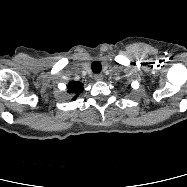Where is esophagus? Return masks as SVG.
Segmentation results:
<instances>
[{"label":"esophagus","mask_w":187,"mask_h":187,"mask_svg":"<svg viewBox=\"0 0 187 187\" xmlns=\"http://www.w3.org/2000/svg\"><path fill=\"white\" fill-rule=\"evenodd\" d=\"M94 78H95V80H97V81H101V80L103 79V75H102V74H96V75L94 76Z\"/></svg>","instance_id":"34e87169"}]
</instances>
